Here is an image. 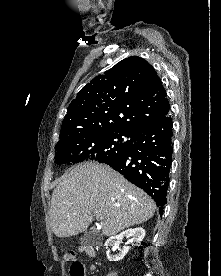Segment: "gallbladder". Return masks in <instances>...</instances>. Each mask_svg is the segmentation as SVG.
Wrapping results in <instances>:
<instances>
[{"mask_svg": "<svg viewBox=\"0 0 221 276\" xmlns=\"http://www.w3.org/2000/svg\"><path fill=\"white\" fill-rule=\"evenodd\" d=\"M80 241L82 244H93L95 240V233L94 232H89L84 234L81 238Z\"/></svg>", "mask_w": 221, "mask_h": 276, "instance_id": "gallbladder-1", "label": "gallbladder"}]
</instances>
